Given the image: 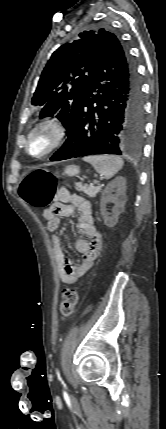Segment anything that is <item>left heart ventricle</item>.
<instances>
[{
  "mask_svg": "<svg viewBox=\"0 0 166 429\" xmlns=\"http://www.w3.org/2000/svg\"><path fill=\"white\" fill-rule=\"evenodd\" d=\"M49 135L46 133H39L32 137L29 149L33 154H39L44 151L49 145Z\"/></svg>",
  "mask_w": 166,
  "mask_h": 429,
  "instance_id": "left-heart-ventricle-1",
  "label": "left heart ventricle"
}]
</instances>
